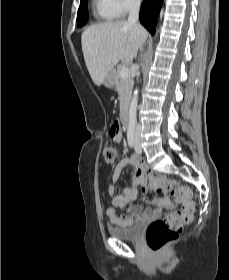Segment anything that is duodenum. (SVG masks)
<instances>
[{"instance_id": "duodenum-1", "label": "duodenum", "mask_w": 229, "mask_h": 280, "mask_svg": "<svg viewBox=\"0 0 229 280\" xmlns=\"http://www.w3.org/2000/svg\"><path fill=\"white\" fill-rule=\"evenodd\" d=\"M121 124L123 127H126L128 125V110L127 108H124L122 113H121Z\"/></svg>"}]
</instances>
